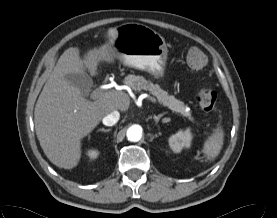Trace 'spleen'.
<instances>
[{
    "label": "spleen",
    "instance_id": "1",
    "mask_svg": "<svg viewBox=\"0 0 277 218\" xmlns=\"http://www.w3.org/2000/svg\"><path fill=\"white\" fill-rule=\"evenodd\" d=\"M224 141V131L221 125L214 129L213 133L204 143L203 152L208 160H213L220 153Z\"/></svg>",
    "mask_w": 277,
    "mask_h": 218
}]
</instances>
